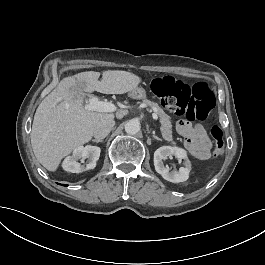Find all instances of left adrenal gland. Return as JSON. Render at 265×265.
I'll return each instance as SVG.
<instances>
[{
  "instance_id": "a2214340",
  "label": "left adrenal gland",
  "mask_w": 265,
  "mask_h": 265,
  "mask_svg": "<svg viewBox=\"0 0 265 265\" xmlns=\"http://www.w3.org/2000/svg\"><path fill=\"white\" fill-rule=\"evenodd\" d=\"M152 137L158 141H162V139L155 135V131H152Z\"/></svg>"
}]
</instances>
